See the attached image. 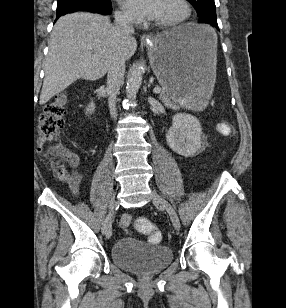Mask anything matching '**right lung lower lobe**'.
I'll return each mask as SVG.
<instances>
[{"label": "right lung lower lobe", "instance_id": "right-lung-lower-lobe-1", "mask_svg": "<svg viewBox=\"0 0 286 308\" xmlns=\"http://www.w3.org/2000/svg\"><path fill=\"white\" fill-rule=\"evenodd\" d=\"M76 11H87V12L108 15L111 13L112 7H98V6H93V5L71 6V7L57 10L56 20L64 14L72 13Z\"/></svg>", "mask_w": 286, "mask_h": 308}]
</instances>
